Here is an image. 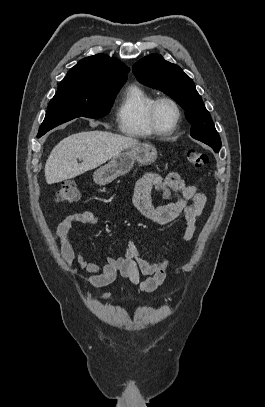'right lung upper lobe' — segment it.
Segmentation results:
<instances>
[{
    "instance_id": "obj_1",
    "label": "right lung upper lobe",
    "mask_w": 265,
    "mask_h": 407,
    "mask_svg": "<svg viewBox=\"0 0 265 407\" xmlns=\"http://www.w3.org/2000/svg\"><path fill=\"white\" fill-rule=\"evenodd\" d=\"M130 69L116 58L97 54L80 60L63 80L103 81L124 84Z\"/></svg>"
}]
</instances>
